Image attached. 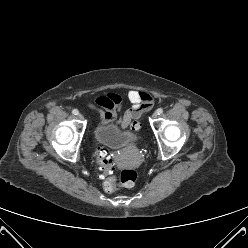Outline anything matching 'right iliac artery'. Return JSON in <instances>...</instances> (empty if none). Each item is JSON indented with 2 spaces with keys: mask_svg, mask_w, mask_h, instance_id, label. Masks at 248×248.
Wrapping results in <instances>:
<instances>
[{
  "mask_svg": "<svg viewBox=\"0 0 248 248\" xmlns=\"http://www.w3.org/2000/svg\"><path fill=\"white\" fill-rule=\"evenodd\" d=\"M72 113H73L74 115H77L79 112H78L77 109H73V110H72Z\"/></svg>",
  "mask_w": 248,
  "mask_h": 248,
  "instance_id": "82829eb1",
  "label": "right iliac artery"
}]
</instances>
